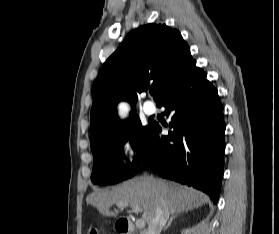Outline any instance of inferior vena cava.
<instances>
[{
    "label": "inferior vena cava",
    "instance_id": "inferior-vena-cava-1",
    "mask_svg": "<svg viewBox=\"0 0 279 234\" xmlns=\"http://www.w3.org/2000/svg\"><path fill=\"white\" fill-rule=\"evenodd\" d=\"M170 215L168 205L162 199L157 205L155 215L148 224V229L145 234H160Z\"/></svg>",
    "mask_w": 279,
    "mask_h": 234
}]
</instances>
